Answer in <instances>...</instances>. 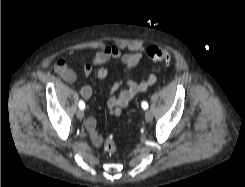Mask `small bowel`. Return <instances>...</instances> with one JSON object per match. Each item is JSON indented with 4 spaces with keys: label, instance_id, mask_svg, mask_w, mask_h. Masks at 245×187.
Masks as SVG:
<instances>
[{
    "label": "small bowel",
    "instance_id": "small-bowel-1",
    "mask_svg": "<svg viewBox=\"0 0 245 187\" xmlns=\"http://www.w3.org/2000/svg\"><path fill=\"white\" fill-rule=\"evenodd\" d=\"M145 56L146 54L144 52H122L115 45H107L98 50L89 62L83 64L82 71L85 77L90 76L92 71L97 68V77L104 80L108 77V71L103 65L112 59L121 62L123 67L122 79L111 86L109 91L110 96L107 101L109 113L112 116H119L123 109L128 107L138 94L146 92L157 82L158 78L155 74L148 75L141 82H137L129 77V71L144 59ZM55 71L65 82L73 83L77 79L75 71L64 59H59L55 63ZM124 85L126 88L122 89ZM78 94L81 98L87 100L92 95V89L89 85H84L79 88ZM86 128L93 144L100 146L103 143V137L96 129V120L92 117L88 118Z\"/></svg>",
    "mask_w": 245,
    "mask_h": 187
}]
</instances>
